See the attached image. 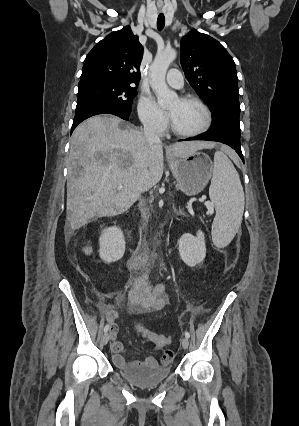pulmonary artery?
I'll use <instances>...</instances> for the list:
<instances>
[{
  "instance_id": "pulmonary-artery-1",
  "label": "pulmonary artery",
  "mask_w": 299,
  "mask_h": 426,
  "mask_svg": "<svg viewBox=\"0 0 299 426\" xmlns=\"http://www.w3.org/2000/svg\"><path fill=\"white\" fill-rule=\"evenodd\" d=\"M166 81L169 85H171L174 88H181L184 83L182 73L175 68H172L168 71L166 75Z\"/></svg>"
}]
</instances>
